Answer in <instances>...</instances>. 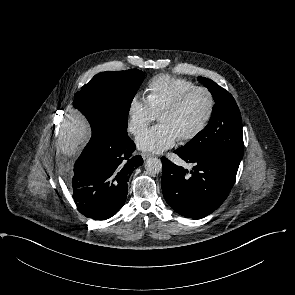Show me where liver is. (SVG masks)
I'll list each match as a JSON object with an SVG mask.
<instances>
[{
	"instance_id": "liver-1",
	"label": "liver",
	"mask_w": 295,
	"mask_h": 295,
	"mask_svg": "<svg viewBox=\"0 0 295 295\" xmlns=\"http://www.w3.org/2000/svg\"><path fill=\"white\" fill-rule=\"evenodd\" d=\"M90 137V129L83 116L72 109L68 110L61 124L58 147L67 156L78 153L80 146Z\"/></svg>"
}]
</instances>
